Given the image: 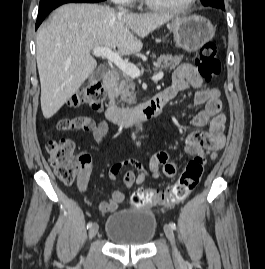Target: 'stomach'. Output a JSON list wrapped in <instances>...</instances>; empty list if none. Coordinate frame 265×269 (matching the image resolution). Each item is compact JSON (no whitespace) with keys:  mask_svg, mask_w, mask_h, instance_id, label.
<instances>
[{"mask_svg":"<svg viewBox=\"0 0 265 269\" xmlns=\"http://www.w3.org/2000/svg\"><path fill=\"white\" fill-rule=\"evenodd\" d=\"M167 26L173 33L176 45L188 52L202 48L215 33L212 23L200 15L179 16Z\"/></svg>","mask_w":265,"mask_h":269,"instance_id":"obj_1","label":"stomach"}]
</instances>
